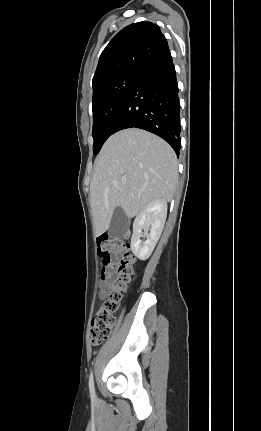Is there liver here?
I'll return each mask as SVG.
<instances>
[{"instance_id":"1","label":"liver","mask_w":261,"mask_h":431,"mask_svg":"<svg viewBox=\"0 0 261 431\" xmlns=\"http://www.w3.org/2000/svg\"><path fill=\"white\" fill-rule=\"evenodd\" d=\"M177 184L176 154L166 141L137 128L113 134L95 160L90 184L96 235L109 229L117 207L133 218L154 200L171 201Z\"/></svg>"}]
</instances>
